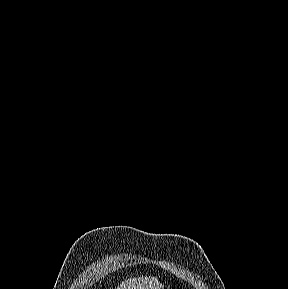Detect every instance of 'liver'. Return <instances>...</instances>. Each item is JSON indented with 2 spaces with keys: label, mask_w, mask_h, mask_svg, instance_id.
<instances>
[{
  "label": "liver",
  "mask_w": 288,
  "mask_h": 289,
  "mask_svg": "<svg viewBox=\"0 0 288 289\" xmlns=\"http://www.w3.org/2000/svg\"><path fill=\"white\" fill-rule=\"evenodd\" d=\"M163 284L159 282L157 277H138L129 278L122 282L117 289H162Z\"/></svg>",
  "instance_id": "6515ba94"
}]
</instances>
